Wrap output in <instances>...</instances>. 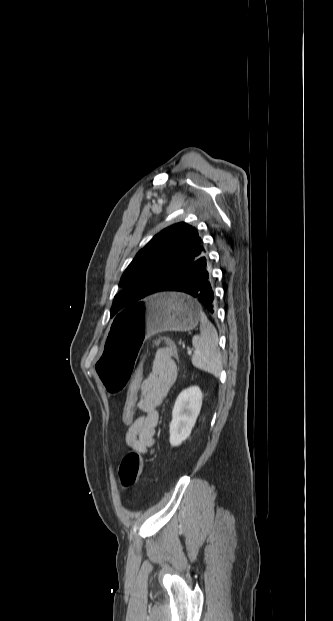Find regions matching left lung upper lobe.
Masks as SVG:
<instances>
[{
	"mask_svg": "<svg viewBox=\"0 0 333 621\" xmlns=\"http://www.w3.org/2000/svg\"><path fill=\"white\" fill-rule=\"evenodd\" d=\"M206 252L195 227L180 222L163 229L137 253L125 270L119 285L126 292L115 296L110 316L158 293L169 280L190 268Z\"/></svg>",
	"mask_w": 333,
	"mask_h": 621,
	"instance_id": "1",
	"label": "left lung upper lobe"
}]
</instances>
